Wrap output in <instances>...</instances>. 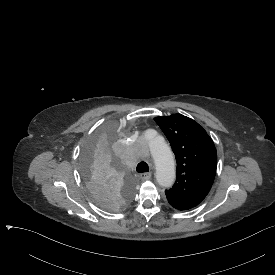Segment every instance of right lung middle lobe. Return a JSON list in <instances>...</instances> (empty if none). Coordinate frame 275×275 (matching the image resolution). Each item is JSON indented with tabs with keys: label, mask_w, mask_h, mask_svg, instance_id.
<instances>
[{
	"label": "right lung middle lobe",
	"mask_w": 275,
	"mask_h": 275,
	"mask_svg": "<svg viewBox=\"0 0 275 275\" xmlns=\"http://www.w3.org/2000/svg\"><path fill=\"white\" fill-rule=\"evenodd\" d=\"M120 133L112 125H100L88 136L83 149L84 181L98 207L115 212L136 199L133 178L117 169Z\"/></svg>",
	"instance_id": "1"
}]
</instances>
